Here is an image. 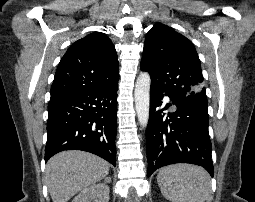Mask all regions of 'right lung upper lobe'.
<instances>
[{"instance_id":"right-lung-upper-lobe-1","label":"right lung upper lobe","mask_w":255,"mask_h":202,"mask_svg":"<svg viewBox=\"0 0 255 202\" xmlns=\"http://www.w3.org/2000/svg\"><path fill=\"white\" fill-rule=\"evenodd\" d=\"M119 79V64L111 40L94 32L73 43L62 57L51 87V99L103 89Z\"/></svg>"}]
</instances>
